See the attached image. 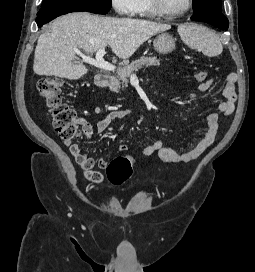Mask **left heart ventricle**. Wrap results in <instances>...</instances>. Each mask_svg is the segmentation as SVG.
Listing matches in <instances>:
<instances>
[{
    "label": "left heart ventricle",
    "instance_id": "left-heart-ventricle-1",
    "mask_svg": "<svg viewBox=\"0 0 255 272\" xmlns=\"http://www.w3.org/2000/svg\"><path fill=\"white\" fill-rule=\"evenodd\" d=\"M188 0H163L164 8L169 12H179L187 7Z\"/></svg>",
    "mask_w": 255,
    "mask_h": 272
}]
</instances>
